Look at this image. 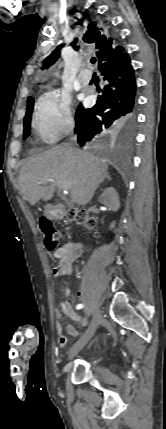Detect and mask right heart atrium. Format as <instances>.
Masks as SVG:
<instances>
[{
  "label": "right heart atrium",
  "instance_id": "obj_1",
  "mask_svg": "<svg viewBox=\"0 0 166 429\" xmlns=\"http://www.w3.org/2000/svg\"><path fill=\"white\" fill-rule=\"evenodd\" d=\"M73 125L71 102L62 91H48L35 105L33 126L37 135L44 142L57 141L70 131Z\"/></svg>",
  "mask_w": 166,
  "mask_h": 429
}]
</instances>
